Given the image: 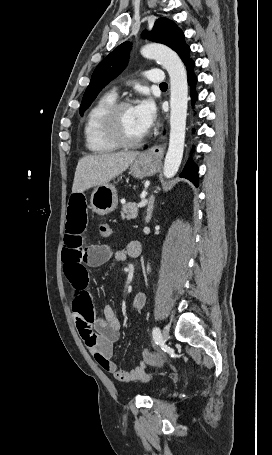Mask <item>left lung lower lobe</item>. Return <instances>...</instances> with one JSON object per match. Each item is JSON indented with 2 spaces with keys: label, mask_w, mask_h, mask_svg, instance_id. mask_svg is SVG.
Wrapping results in <instances>:
<instances>
[{
  "label": "left lung lower lobe",
  "mask_w": 272,
  "mask_h": 455,
  "mask_svg": "<svg viewBox=\"0 0 272 455\" xmlns=\"http://www.w3.org/2000/svg\"><path fill=\"white\" fill-rule=\"evenodd\" d=\"M184 64L186 65L187 73H188V83L191 87V97H192V103L197 99L196 92L194 90L195 84H196V77L193 74V68L195 66L194 62L190 59L184 60ZM181 177H185L192 181L195 186H198V168L197 166L192 162H188L186 166L183 169V172L181 173Z\"/></svg>",
  "instance_id": "0a47b994"
}]
</instances>
